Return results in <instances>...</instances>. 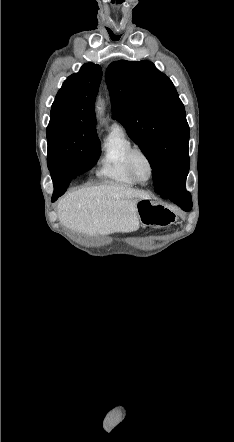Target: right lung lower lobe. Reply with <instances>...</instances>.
I'll use <instances>...</instances> for the list:
<instances>
[{"instance_id":"obj_1","label":"right lung lower lobe","mask_w":234,"mask_h":442,"mask_svg":"<svg viewBox=\"0 0 234 442\" xmlns=\"http://www.w3.org/2000/svg\"><path fill=\"white\" fill-rule=\"evenodd\" d=\"M73 168L70 164L62 165L54 168L51 172V177L54 184V193L52 201L57 200L58 197L63 195L68 188L71 180L74 178Z\"/></svg>"}]
</instances>
